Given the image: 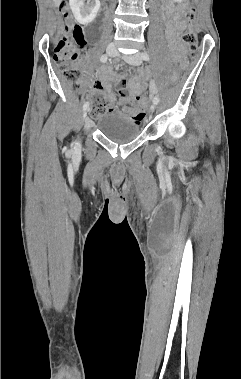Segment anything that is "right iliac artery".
<instances>
[{"mask_svg":"<svg viewBox=\"0 0 241 379\" xmlns=\"http://www.w3.org/2000/svg\"><path fill=\"white\" fill-rule=\"evenodd\" d=\"M107 60H108V57H107L106 54H103V55L101 56V58H100V61H101L102 63L107 62ZM88 106H89V103L86 102V103L83 105V109L86 110V109L88 108Z\"/></svg>","mask_w":241,"mask_h":379,"instance_id":"obj_1","label":"right iliac artery"}]
</instances>
